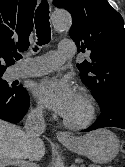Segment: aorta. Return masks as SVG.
Listing matches in <instances>:
<instances>
[{"mask_svg":"<svg viewBox=\"0 0 125 167\" xmlns=\"http://www.w3.org/2000/svg\"><path fill=\"white\" fill-rule=\"evenodd\" d=\"M52 22L57 31H64L70 27L72 19L67 12H55L52 15ZM54 167H60V161L56 162Z\"/></svg>","mask_w":125,"mask_h":167,"instance_id":"762f6f07","label":"aorta"}]
</instances>
